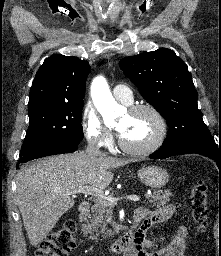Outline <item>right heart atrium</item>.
<instances>
[{"mask_svg": "<svg viewBox=\"0 0 221 256\" xmlns=\"http://www.w3.org/2000/svg\"><path fill=\"white\" fill-rule=\"evenodd\" d=\"M81 126L90 145L97 148H108L112 145V133L104 125L101 116L92 103H87L83 108Z\"/></svg>", "mask_w": 221, "mask_h": 256, "instance_id": "1", "label": "right heart atrium"}]
</instances>
